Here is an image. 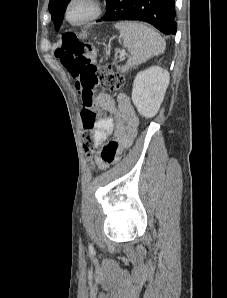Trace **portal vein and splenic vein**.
<instances>
[{
  "label": "portal vein and splenic vein",
  "instance_id": "portal-vein-and-splenic-vein-1",
  "mask_svg": "<svg viewBox=\"0 0 227 298\" xmlns=\"http://www.w3.org/2000/svg\"><path fill=\"white\" fill-rule=\"evenodd\" d=\"M121 56H124L125 55V52H121V54H120Z\"/></svg>",
  "mask_w": 227,
  "mask_h": 298
}]
</instances>
